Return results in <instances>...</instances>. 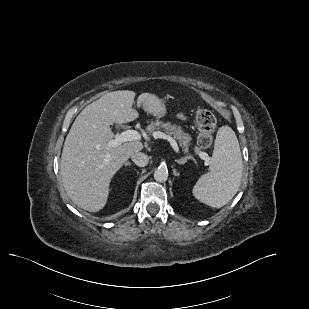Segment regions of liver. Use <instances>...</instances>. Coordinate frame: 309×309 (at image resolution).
<instances>
[{"label": "liver", "instance_id": "6515ba94", "mask_svg": "<svg viewBox=\"0 0 309 309\" xmlns=\"http://www.w3.org/2000/svg\"><path fill=\"white\" fill-rule=\"evenodd\" d=\"M152 96L139 95L137 106ZM134 99L135 93L129 90L106 93L81 111L65 139L61 179L69 198L84 210L97 212L106 205L111 179L133 153L143 149L137 140L108 146L114 137L110 125L138 118L132 108Z\"/></svg>", "mask_w": 309, "mask_h": 309}]
</instances>
